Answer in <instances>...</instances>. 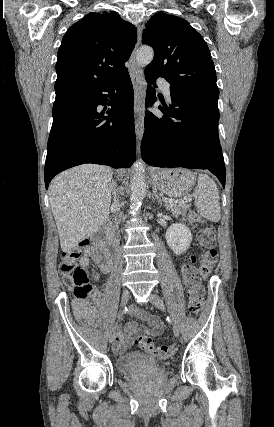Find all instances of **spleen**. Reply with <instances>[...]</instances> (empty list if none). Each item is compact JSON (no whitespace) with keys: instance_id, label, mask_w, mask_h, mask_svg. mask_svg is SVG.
Returning <instances> with one entry per match:
<instances>
[{"instance_id":"obj_1","label":"spleen","mask_w":274,"mask_h":427,"mask_svg":"<svg viewBox=\"0 0 274 427\" xmlns=\"http://www.w3.org/2000/svg\"><path fill=\"white\" fill-rule=\"evenodd\" d=\"M194 196L197 212L210 221H219L221 210L218 188L207 174H199Z\"/></svg>"}]
</instances>
